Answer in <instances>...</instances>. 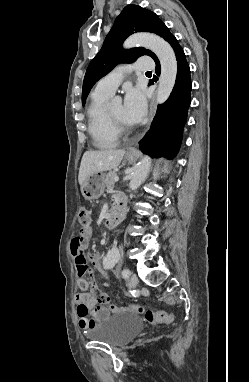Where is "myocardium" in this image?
<instances>
[{
    "label": "myocardium",
    "instance_id": "1",
    "mask_svg": "<svg viewBox=\"0 0 249 382\" xmlns=\"http://www.w3.org/2000/svg\"><path fill=\"white\" fill-rule=\"evenodd\" d=\"M106 114H107L108 120H109L110 124L112 125L114 131L117 132L119 135L122 133H126V132L131 130L130 127H128V126L124 125L123 123H121L120 121L116 120L111 115V113L108 109H106Z\"/></svg>",
    "mask_w": 249,
    "mask_h": 382
}]
</instances>
